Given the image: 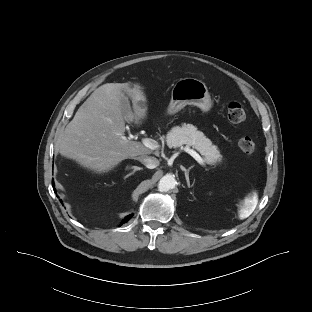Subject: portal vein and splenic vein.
<instances>
[{"label":"portal vein and splenic vein","mask_w":312,"mask_h":312,"mask_svg":"<svg viewBox=\"0 0 312 312\" xmlns=\"http://www.w3.org/2000/svg\"><path fill=\"white\" fill-rule=\"evenodd\" d=\"M142 143L145 147L151 149V150H155L159 147L157 141L150 139V138H144L142 140ZM184 150L189 153L200 165H205L204 160L202 159V157L194 150L185 147Z\"/></svg>","instance_id":"1"}]
</instances>
